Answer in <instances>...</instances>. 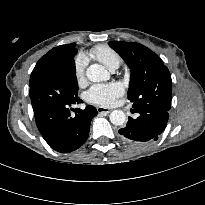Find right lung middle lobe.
<instances>
[{
	"label": "right lung middle lobe",
	"instance_id": "right-lung-middle-lobe-1",
	"mask_svg": "<svg viewBox=\"0 0 205 205\" xmlns=\"http://www.w3.org/2000/svg\"><path fill=\"white\" fill-rule=\"evenodd\" d=\"M67 69H68V71H70V73L72 74V76H73L74 80L77 82V80H76V69H75V63H74V60H73V59H71V61H70L69 65H68V67H67ZM51 71H53V69H52V70L47 71L46 73L51 72ZM46 73H44V74H46ZM44 74H43V75H44Z\"/></svg>",
	"mask_w": 205,
	"mask_h": 205
}]
</instances>
